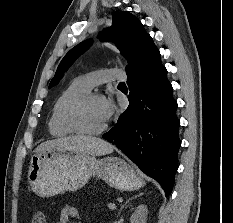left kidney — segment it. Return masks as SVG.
Here are the masks:
<instances>
[{
	"mask_svg": "<svg viewBox=\"0 0 233 223\" xmlns=\"http://www.w3.org/2000/svg\"><path fill=\"white\" fill-rule=\"evenodd\" d=\"M148 213L147 205H138L137 209H135L134 213H132L130 217V223H146V217Z\"/></svg>",
	"mask_w": 233,
	"mask_h": 223,
	"instance_id": "left-kidney-1",
	"label": "left kidney"
}]
</instances>
